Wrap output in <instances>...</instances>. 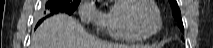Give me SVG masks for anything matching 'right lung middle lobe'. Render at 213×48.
<instances>
[{
    "label": "right lung middle lobe",
    "instance_id": "dd1d6c3e",
    "mask_svg": "<svg viewBox=\"0 0 213 48\" xmlns=\"http://www.w3.org/2000/svg\"><path fill=\"white\" fill-rule=\"evenodd\" d=\"M80 1L81 0H49L46 3L47 14L52 15L59 12L72 14L79 5Z\"/></svg>",
    "mask_w": 213,
    "mask_h": 48
}]
</instances>
